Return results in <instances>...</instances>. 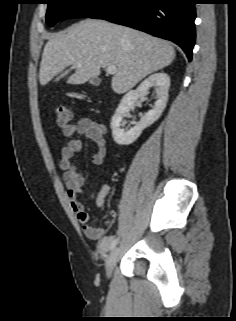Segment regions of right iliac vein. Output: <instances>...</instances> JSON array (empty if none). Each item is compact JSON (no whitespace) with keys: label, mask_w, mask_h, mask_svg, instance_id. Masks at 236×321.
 I'll return each instance as SVG.
<instances>
[{"label":"right iliac vein","mask_w":236,"mask_h":321,"mask_svg":"<svg viewBox=\"0 0 236 321\" xmlns=\"http://www.w3.org/2000/svg\"><path fill=\"white\" fill-rule=\"evenodd\" d=\"M119 248H114L106 260V275L108 278L111 277L113 268L118 260Z\"/></svg>","instance_id":"1"}]
</instances>
